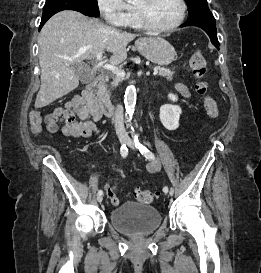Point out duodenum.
Returning a JSON list of instances; mask_svg holds the SVG:
<instances>
[{
  "label": "duodenum",
  "instance_id": "1",
  "mask_svg": "<svg viewBox=\"0 0 261 273\" xmlns=\"http://www.w3.org/2000/svg\"><path fill=\"white\" fill-rule=\"evenodd\" d=\"M106 76L100 74L96 76L82 93V98L89 106L95 108L105 116L114 114V106L110 99L104 94L103 86Z\"/></svg>",
  "mask_w": 261,
  "mask_h": 273
}]
</instances>
